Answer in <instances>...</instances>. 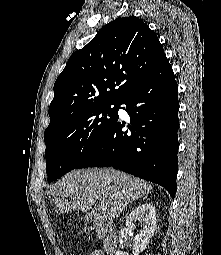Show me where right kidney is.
Returning a JSON list of instances; mask_svg holds the SVG:
<instances>
[{
  "instance_id": "right-kidney-1",
  "label": "right kidney",
  "mask_w": 221,
  "mask_h": 255,
  "mask_svg": "<svg viewBox=\"0 0 221 255\" xmlns=\"http://www.w3.org/2000/svg\"><path fill=\"white\" fill-rule=\"evenodd\" d=\"M140 223L143 229L134 238L132 248L133 255H139L149 244L156 229V210L150 203H143L137 206L126 218V227L132 231L136 224ZM115 255H129L127 252L117 250Z\"/></svg>"
}]
</instances>
